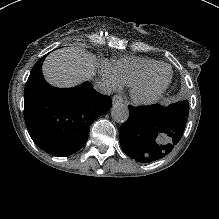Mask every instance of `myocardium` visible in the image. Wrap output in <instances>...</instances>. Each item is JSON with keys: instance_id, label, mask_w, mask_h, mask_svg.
Listing matches in <instances>:
<instances>
[{"instance_id": "f54148a6", "label": "myocardium", "mask_w": 219, "mask_h": 219, "mask_svg": "<svg viewBox=\"0 0 219 219\" xmlns=\"http://www.w3.org/2000/svg\"><path fill=\"white\" fill-rule=\"evenodd\" d=\"M160 69H166L168 71V78L166 82L158 89L145 93L144 90L147 88L151 77ZM172 70L167 64H160L150 69L144 74L136 83L130 88V97L132 101L140 106H148L156 103L161 99L166 90L168 89L172 81Z\"/></svg>"}]
</instances>
